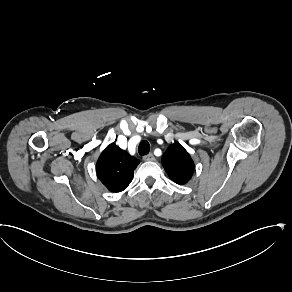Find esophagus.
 <instances>
[{"instance_id":"esophagus-1","label":"esophagus","mask_w":292,"mask_h":292,"mask_svg":"<svg viewBox=\"0 0 292 292\" xmlns=\"http://www.w3.org/2000/svg\"><path fill=\"white\" fill-rule=\"evenodd\" d=\"M144 161H155V157L152 153L143 156Z\"/></svg>"}]
</instances>
